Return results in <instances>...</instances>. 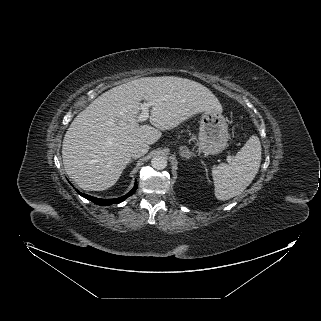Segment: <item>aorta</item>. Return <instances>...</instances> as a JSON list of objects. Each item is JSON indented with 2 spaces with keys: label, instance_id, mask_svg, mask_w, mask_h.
Masks as SVG:
<instances>
[{
  "label": "aorta",
  "instance_id": "obj_1",
  "mask_svg": "<svg viewBox=\"0 0 321 321\" xmlns=\"http://www.w3.org/2000/svg\"><path fill=\"white\" fill-rule=\"evenodd\" d=\"M151 165L157 170H163L167 166V160L164 156H155L151 160Z\"/></svg>",
  "mask_w": 321,
  "mask_h": 321
}]
</instances>
